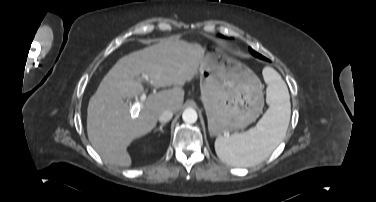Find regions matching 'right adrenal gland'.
Returning a JSON list of instances; mask_svg holds the SVG:
<instances>
[{
    "label": "right adrenal gland",
    "instance_id": "2a0ac1e0",
    "mask_svg": "<svg viewBox=\"0 0 376 202\" xmlns=\"http://www.w3.org/2000/svg\"><path fill=\"white\" fill-rule=\"evenodd\" d=\"M165 125H166V123H162L158 129L156 128V129L154 130V132H156V131L159 130L161 133H163V127H164Z\"/></svg>",
    "mask_w": 376,
    "mask_h": 202
}]
</instances>
